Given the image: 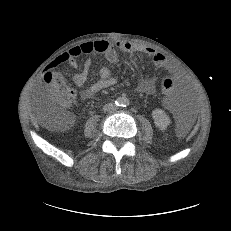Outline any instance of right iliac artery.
I'll return each mask as SVG.
<instances>
[{
    "instance_id": "obj_1",
    "label": "right iliac artery",
    "mask_w": 231,
    "mask_h": 231,
    "mask_svg": "<svg viewBox=\"0 0 231 231\" xmlns=\"http://www.w3.org/2000/svg\"><path fill=\"white\" fill-rule=\"evenodd\" d=\"M116 104H118V105H119V104H120V101H119V100H118V101H116Z\"/></svg>"
}]
</instances>
